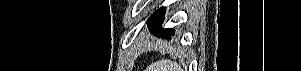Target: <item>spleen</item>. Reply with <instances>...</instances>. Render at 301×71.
Wrapping results in <instances>:
<instances>
[{
	"label": "spleen",
	"instance_id": "obj_1",
	"mask_svg": "<svg viewBox=\"0 0 301 71\" xmlns=\"http://www.w3.org/2000/svg\"><path fill=\"white\" fill-rule=\"evenodd\" d=\"M148 71H181L177 62L171 60H160L150 65Z\"/></svg>",
	"mask_w": 301,
	"mask_h": 71
}]
</instances>
